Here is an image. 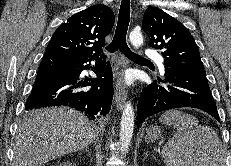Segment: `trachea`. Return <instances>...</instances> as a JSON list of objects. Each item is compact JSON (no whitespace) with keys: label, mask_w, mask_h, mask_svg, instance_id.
I'll return each mask as SVG.
<instances>
[{"label":"trachea","mask_w":231,"mask_h":166,"mask_svg":"<svg viewBox=\"0 0 231 166\" xmlns=\"http://www.w3.org/2000/svg\"><path fill=\"white\" fill-rule=\"evenodd\" d=\"M130 21V0H122L117 27L112 42L106 47L109 53L120 50L127 58L138 61H149L132 52L126 43V35Z\"/></svg>","instance_id":"trachea-1"}]
</instances>
